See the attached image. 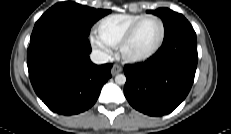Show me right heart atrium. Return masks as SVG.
I'll return each instance as SVG.
<instances>
[{
  "label": "right heart atrium",
  "instance_id": "d8ad5b80",
  "mask_svg": "<svg viewBox=\"0 0 231 134\" xmlns=\"http://www.w3.org/2000/svg\"><path fill=\"white\" fill-rule=\"evenodd\" d=\"M90 44L93 51L102 59L108 60L112 55V49L104 43L97 35L90 36Z\"/></svg>",
  "mask_w": 231,
  "mask_h": 134
}]
</instances>
